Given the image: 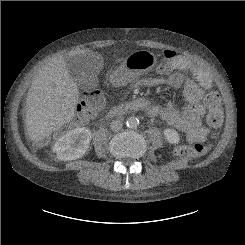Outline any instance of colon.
<instances>
[{
    "instance_id": "colon-1",
    "label": "colon",
    "mask_w": 245,
    "mask_h": 245,
    "mask_svg": "<svg viewBox=\"0 0 245 245\" xmlns=\"http://www.w3.org/2000/svg\"><path fill=\"white\" fill-rule=\"evenodd\" d=\"M174 54V52H170L167 56L172 57ZM205 102L211 110L210 123L214 128L218 129L222 123V113L218 110L220 103L219 94L216 91H209L206 95ZM103 105L104 97L99 89L91 88L83 92L73 124L75 126L87 124L101 111ZM213 138L214 136H211L207 141L177 145L174 148V154L180 158H197L203 156L210 147Z\"/></svg>"
}]
</instances>
